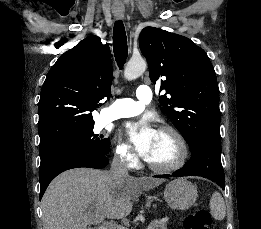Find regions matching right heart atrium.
Instances as JSON below:
<instances>
[{"instance_id": "1", "label": "right heart atrium", "mask_w": 261, "mask_h": 229, "mask_svg": "<svg viewBox=\"0 0 261 229\" xmlns=\"http://www.w3.org/2000/svg\"><path fill=\"white\" fill-rule=\"evenodd\" d=\"M114 158L120 166L127 170H135L138 168V157L132 148L124 142L117 143Z\"/></svg>"}]
</instances>
